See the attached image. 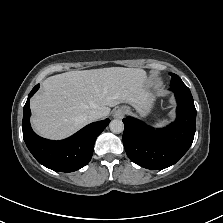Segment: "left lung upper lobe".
<instances>
[{
	"label": "left lung upper lobe",
	"mask_w": 223,
	"mask_h": 223,
	"mask_svg": "<svg viewBox=\"0 0 223 223\" xmlns=\"http://www.w3.org/2000/svg\"><path fill=\"white\" fill-rule=\"evenodd\" d=\"M170 75L172 77L170 86L186 87V85L183 83V81L181 80L179 76L173 73H170Z\"/></svg>",
	"instance_id": "1"
}]
</instances>
